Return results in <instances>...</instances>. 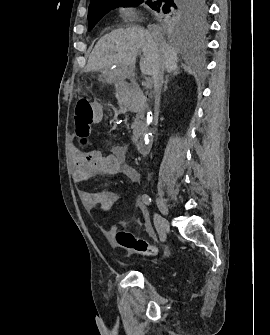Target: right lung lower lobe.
<instances>
[{"label": "right lung lower lobe", "instance_id": "1", "mask_svg": "<svg viewBox=\"0 0 270 335\" xmlns=\"http://www.w3.org/2000/svg\"><path fill=\"white\" fill-rule=\"evenodd\" d=\"M156 1H157V0H156ZM166 3H168V1H167V0L165 1V4H166ZM162 5H164V4L162 3ZM162 5H161V6H162Z\"/></svg>", "mask_w": 270, "mask_h": 335}]
</instances>
